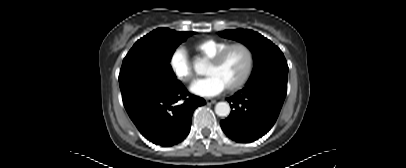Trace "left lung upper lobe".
<instances>
[{
	"instance_id": "left-lung-upper-lobe-1",
	"label": "left lung upper lobe",
	"mask_w": 406,
	"mask_h": 168,
	"mask_svg": "<svg viewBox=\"0 0 406 168\" xmlns=\"http://www.w3.org/2000/svg\"><path fill=\"white\" fill-rule=\"evenodd\" d=\"M219 34L245 44L254 54V69L247 85L258 83L287 85V62L281 50L270 40L247 29L225 30Z\"/></svg>"
}]
</instances>
